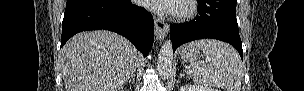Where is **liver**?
Wrapping results in <instances>:
<instances>
[{"instance_id":"liver-1","label":"liver","mask_w":304,"mask_h":91,"mask_svg":"<svg viewBox=\"0 0 304 91\" xmlns=\"http://www.w3.org/2000/svg\"><path fill=\"white\" fill-rule=\"evenodd\" d=\"M138 60L136 49L119 34H76L61 50L66 91H119L135 74Z\"/></svg>"}]
</instances>
